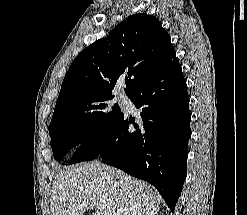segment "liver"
Here are the masks:
<instances>
[{"label":"liver","mask_w":247,"mask_h":215,"mask_svg":"<svg viewBox=\"0 0 247 215\" xmlns=\"http://www.w3.org/2000/svg\"><path fill=\"white\" fill-rule=\"evenodd\" d=\"M52 215H157L161 197L143 181L100 162L60 171L51 195ZM99 207V208H98Z\"/></svg>","instance_id":"obj_1"}]
</instances>
